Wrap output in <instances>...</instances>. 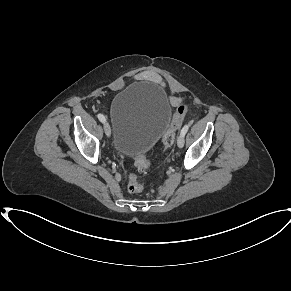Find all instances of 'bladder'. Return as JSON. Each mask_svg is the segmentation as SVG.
<instances>
[{
  "label": "bladder",
  "mask_w": 291,
  "mask_h": 291,
  "mask_svg": "<svg viewBox=\"0 0 291 291\" xmlns=\"http://www.w3.org/2000/svg\"><path fill=\"white\" fill-rule=\"evenodd\" d=\"M113 146L122 156L144 154L168 127L172 108L162 88L136 82L119 92L110 107Z\"/></svg>",
  "instance_id": "31cf9c89"
}]
</instances>
